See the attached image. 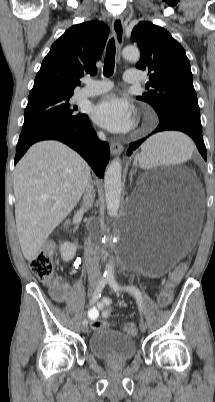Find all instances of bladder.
<instances>
[{
    "label": "bladder",
    "mask_w": 215,
    "mask_h": 402,
    "mask_svg": "<svg viewBox=\"0 0 215 402\" xmlns=\"http://www.w3.org/2000/svg\"><path fill=\"white\" fill-rule=\"evenodd\" d=\"M88 348L96 358L110 362L127 361L136 354V343L131 336L106 328L91 334Z\"/></svg>",
    "instance_id": "31cf9c89"
}]
</instances>
